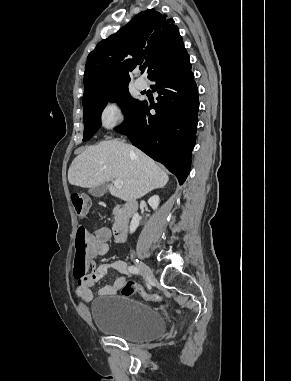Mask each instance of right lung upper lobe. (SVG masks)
<instances>
[{
  "label": "right lung upper lobe",
  "mask_w": 291,
  "mask_h": 381,
  "mask_svg": "<svg viewBox=\"0 0 291 381\" xmlns=\"http://www.w3.org/2000/svg\"><path fill=\"white\" fill-rule=\"evenodd\" d=\"M184 50L174 20L154 9L139 13L125 27L102 40L88 55L83 104L128 86L129 73L142 61L148 78Z\"/></svg>",
  "instance_id": "cb5924a9"
}]
</instances>
